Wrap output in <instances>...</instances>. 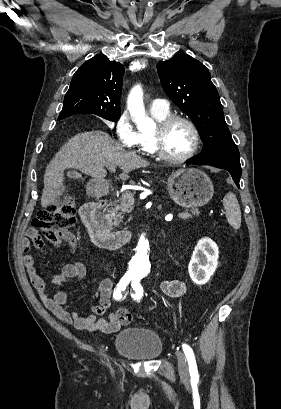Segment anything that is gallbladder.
I'll return each instance as SVG.
<instances>
[{
	"instance_id": "obj_1",
	"label": "gallbladder",
	"mask_w": 281,
	"mask_h": 409,
	"mask_svg": "<svg viewBox=\"0 0 281 409\" xmlns=\"http://www.w3.org/2000/svg\"><path fill=\"white\" fill-rule=\"evenodd\" d=\"M68 176H72V178H75V176H80L79 172H75V170H70L68 172Z\"/></svg>"
}]
</instances>
